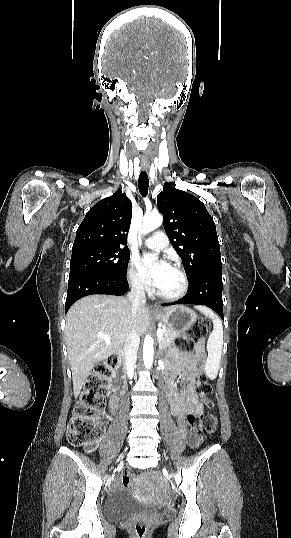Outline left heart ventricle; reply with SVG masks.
<instances>
[{"instance_id":"left-heart-ventricle-1","label":"left heart ventricle","mask_w":291,"mask_h":538,"mask_svg":"<svg viewBox=\"0 0 291 538\" xmlns=\"http://www.w3.org/2000/svg\"><path fill=\"white\" fill-rule=\"evenodd\" d=\"M182 280L180 275L171 267L163 275L157 289L166 294H173L180 290Z\"/></svg>"}]
</instances>
